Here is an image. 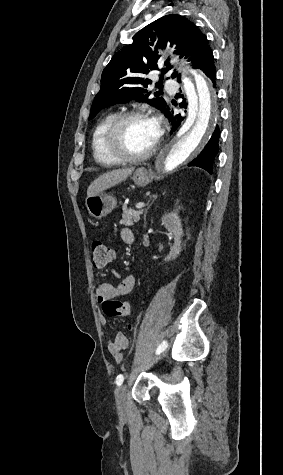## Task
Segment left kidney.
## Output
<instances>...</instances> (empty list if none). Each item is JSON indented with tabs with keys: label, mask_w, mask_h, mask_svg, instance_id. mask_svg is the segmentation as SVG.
<instances>
[{
	"label": "left kidney",
	"mask_w": 283,
	"mask_h": 475,
	"mask_svg": "<svg viewBox=\"0 0 283 475\" xmlns=\"http://www.w3.org/2000/svg\"><path fill=\"white\" fill-rule=\"evenodd\" d=\"M163 226H165L168 232L173 234L174 243L170 249V253H168L167 257H165L164 261H171V259H176L178 257L182 247L181 241L183 234V228L181 224V220L178 216V212H170V214H164L161 218Z\"/></svg>",
	"instance_id": "1"
}]
</instances>
